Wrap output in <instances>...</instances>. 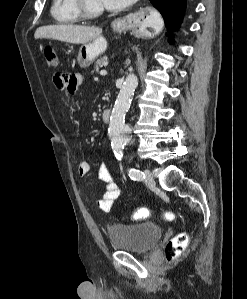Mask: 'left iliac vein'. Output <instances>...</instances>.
Instances as JSON below:
<instances>
[{"label": "left iliac vein", "mask_w": 247, "mask_h": 299, "mask_svg": "<svg viewBox=\"0 0 247 299\" xmlns=\"http://www.w3.org/2000/svg\"><path fill=\"white\" fill-rule=\"evenodd\" d=\"M144 174H145L144 182H145L146 186L154 187L155 186V180L153 178V175H152L151 171L146 169V170H144Z\"/></svg>", "instance_id": "1"}]
</instances>
